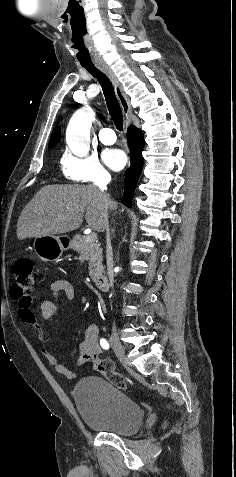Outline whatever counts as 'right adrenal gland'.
<instances>
[{
    "label": "right adrenal gland",
    "mask_w": 236,
    "mask_h": 477,
    "mask_svg": "<svg viewBox=\"0 0 236 477\" xmlns=\"http://www.w3.org/2000/svg\"><path fill=\"white\" fill-rule=\"evenodd\" d=\"M112 232L114 233V232H115V230H114V229H112Z\"/></svg>",
    "instance_id": "obj_1"
}]
</instances>
